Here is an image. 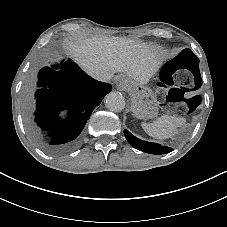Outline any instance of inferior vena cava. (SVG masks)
Masks as SVG:
<instances>
[{"label": "inferior vena cava", "mask_w": 227, "mask_h": 227, "mask_svg": "<svg viewBox=\"0 0 227 227\" xmlns=\"http://www.w3.org/2000/svg\"><path fill=\"white\" fill-rule=\"evenodd\" d=\"M113 77V73L104 72L101 76L95 77L98 81L109 82Z\"/></svg>", "instance_id": "602c4592"}]
</instances>
